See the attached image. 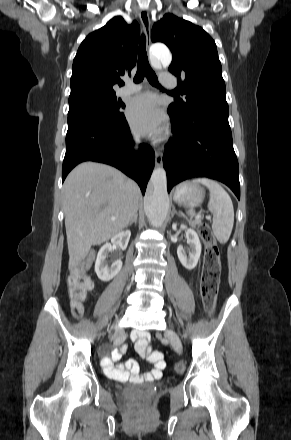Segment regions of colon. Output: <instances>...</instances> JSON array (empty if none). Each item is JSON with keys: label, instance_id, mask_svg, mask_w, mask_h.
<instances>
[{"label": "colon", "instance_id": "obj_1", "mask_svg": "<svg viewBox=\"0 0 291 440\" xmlns=\"http://www.w3.org/2000/svg\"><path fill=\"white\" fill-rule=\"evenodd\" d=\"M198 233L205 243L204 266L201 277V295L204 309L208 314L214 310L215 300L220 283V259L219 248L210 228L207 224L201 223L198 226ZM88 266V260H83L80 266L75 269L69 277V291L73 299L72 314L75 318L82 316L84 312L83 302L88 291L91 289V282L84 271ZM159 352L153 353V358L158 359ZM142 400L138 399L140 403Z\"/></svg>", "mask_w": 291, "mask_h": 440}]
</instances>
